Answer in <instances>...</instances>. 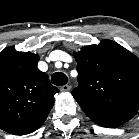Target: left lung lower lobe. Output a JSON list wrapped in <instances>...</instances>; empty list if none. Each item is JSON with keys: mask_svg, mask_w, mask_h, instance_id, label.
<instances>
[{"mask_svg": "<svg viewBox=\"0 0 139 139\" xmlns=\"http://www.w3.org/2000/svg\"><path fill=\"white\" fill-rule=\"evenodd\" d=\"M137 112L125 111V112H112V113H86L90 119L95 123L103 127H116L129 119H131Z\"/></svg>", "mask_w": 139, "mask_h": 139, "instance_id": "obj_1", "label": "left lung lower lobe"}]
</instances>
